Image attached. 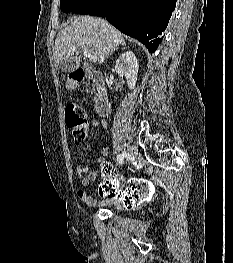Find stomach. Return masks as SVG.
<instances>
[{
  "instance_id": "1",
  "label": "stomach",
  "mask_w": 233,
  "mask_h": 263,
  "mask_svg": "<svg viewBox=\"0 0 233 263\" xmlns=\"http://www.w3.org/2000/svg\"><path fill=\"white\" fill-rule=\"evenodd\" d=\"M67 86L69 89H72L74 87V83L68 81Z\"/></svg>"
}]
</instances>
